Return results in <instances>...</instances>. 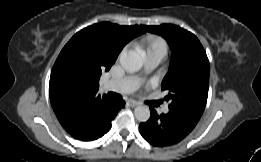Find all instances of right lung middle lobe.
Here are the masks:
<instances>
[{"instance_id":"obj_1","label":"right lung middle lobe","mask_w":261,"mask_h":162,"mask_svg":"<svg viewBox=\"0 0 261 162\" xmlns=\"http://www.w3.org/2000/svg\"><path fill=\"white\" fill-rule=\"evenodd\" d=\"M83 69L69 61H62L55 70V76L58 82L62 84H73L81 78Z\"/></svg>"}]
</instances>
